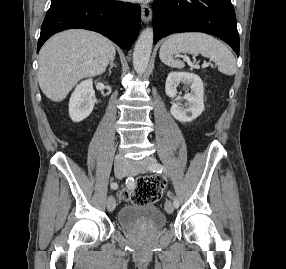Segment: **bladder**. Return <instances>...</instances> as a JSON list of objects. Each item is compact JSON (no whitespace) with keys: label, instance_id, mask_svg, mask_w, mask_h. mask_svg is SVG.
<instances>
[{"label":"bladder","instance_id":"bladder-1","mask_svg":"<svg viewBox=\"0 0 286 269\" xmlns=\"http://www.w3.org/2000/svg\"><path fill=\"white\" fill-rule=\"evenodd\" d=\"M117 222L126 230H160L167 219L158 207L129 203L118 211Z\"/></svg>","mask_w":286,"mask_h":269}]
</instances>
